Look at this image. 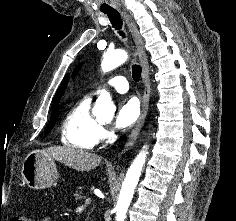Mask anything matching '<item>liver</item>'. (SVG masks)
<instances>
[{
	"mask_svg": "<svg viewBox=\"0 0 236 221\" xmlns=\"http://www.w3.org/2000/svg\"><path fill=\"white\" fill-rule=\"evenodd\" d=\"M42 152L66 166L78 171H89L96 168L101 163V157L91 152L74 148L72 146L49 147Z\"/></svg>",
	"mask_w": 236,
	"mask_h": 221,
	"instance_id": "liver-1",
	"label": "liver"
}]
</instances>
